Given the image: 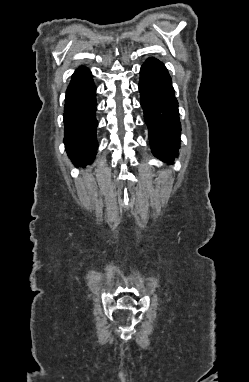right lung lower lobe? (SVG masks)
Returning a JSON list of instances; mask_svg holds the SVG:
<instances>
[{"mask_svg":"<svg viewBox=\"0 0 249 382\" xmlns=\"http://www.w3.org/2000/svg\"><path fill=\"white\" fill-rule=\"evenodd\" d=\"M95 90L91 72L79 67L67 88L64 108L65 148L76 166L90 164L98 148Z\"/></svg>","mask_w":249,"mask_h":382,"instance_id":"98d812e1","label":"right lung lower lobe"}]
</instances>
